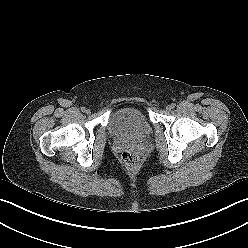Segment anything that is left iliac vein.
<instances>
[{"mask_svg":"<svg viewBox=\"0 0 248 248\" xmlns=\"http://www.w3.org/2000/svg\"><path fill=\"white\" fill-rule=\"evenodd\" d=\"M165 109H166V111H171V110H172V107H171V105H167V106L165 107Z\"/></svg>","mask_w":248,"mask_h":248,"instance_id":"1","label":"left iliac vein"}]
</instances>
